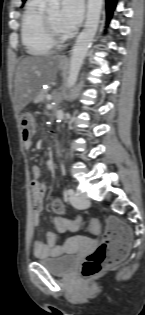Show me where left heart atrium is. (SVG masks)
Instances as JSON below:
<instances>
[{"instance_id":"1","label":"left heart atrium","mask_w":145,"mask_h":315,"mask_svg":"<svg viewBox=\"0 0 145 315\" xmlns=\"http://www.w3.org/2000/svg\"><path fill=\"white\" fill-rule=\"evenodd\" d=\"M83 12V0H63L60 10V20L66 32L72 31L80 24Z\"/></svg>"}]
</instances>
